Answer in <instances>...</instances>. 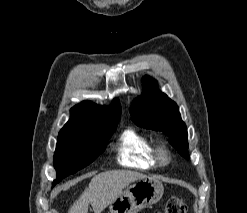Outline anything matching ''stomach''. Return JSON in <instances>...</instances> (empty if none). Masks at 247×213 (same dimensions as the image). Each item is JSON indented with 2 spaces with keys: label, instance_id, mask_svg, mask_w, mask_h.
I'll return each instance as SVG.
<instances>
[{
  "label": "stomach",
  "instance_id": "1",
  "mask_svg": "<svg viewBox=\"0 0 247 213\" xmlns=\"http://www.w3.org/2000/svg\"><path fill=\"white\" fill-rule=\"evenodd\" d=\"M163 184L156 178L146 177L127 186L110 204V213H137L156 204L163 196Z\"/></svg>",
  "mask_w": 247,
  "mask_h": 213
}]
</instances>
